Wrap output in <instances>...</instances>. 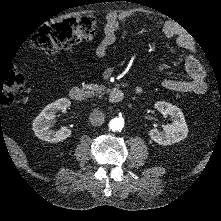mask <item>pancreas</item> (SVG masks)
<instances>
[{"label":"pancreas","instance_id":"cf45deb5","mask_svg":"<svg viewBox=\"0 0 221 221\" xmlns=\"http://www.w3.org/2000/svg\"><path fill=\"white\" fill-rule=\"evenodd\" d=\"M83 89L85 90V98H90L93 97L96 93L102 94L104 91V86L98 84H85Z\"/></svg>","mask_w":221,"mask_h":221}]
</instances>
